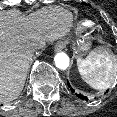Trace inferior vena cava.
Listing matches in <instances>:
<instances>
[{
	"label": "inferior vena cava",
	"instance_id": "inferior-vena-cava-1",
	"mask_svg": "<svg viewBox=\"0 0 117 117\" xmlns=\"http://www.w3.org/2000/svg\"><path fill=\"white\" fill-rule=\"evenodd\" d=\"M29 52H30V54H32V55H36V54H38L39 49H38V47H36V46H32V47H30Z\"/></svg>",
	"mask_w": 117,
	"mask_h": 117
}]
</instances>
